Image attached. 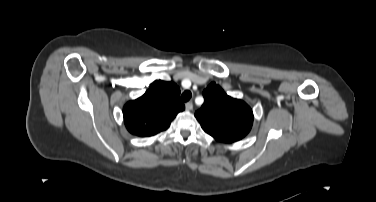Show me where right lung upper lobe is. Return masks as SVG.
Returning <instances> with one entry per match:
<instances>
[{
  "mask_svg": "<svg viewBox=\"0 0 376 202\" xmlns=\"http://www.w3.org/2000/svg\"><path fill=\"white\" fill-rule=\"evenodd\" d=\"M179 96L180 89L174 82L154 81L140 98L124 105L126 128L140 137L166 130L175 116L185 109Z\"/></svg>",
  "mask_w": 376,
  "mask_h": 202,
  "instance_id": "right-lung-upper-lobe-1",
  "label": "right lung upper lobe"
}]
</instances>
